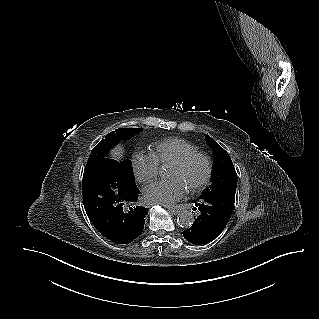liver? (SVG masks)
<instances>
[{
    "instance_id": "liver-1",
    "label": "liver",
    "mask_w": 319,
    "mask_h": 319,
    "mask_svg": "<svg viewBox=\"0 0 319 319\" xmlns=\"http://www.w3.org/2000/svg\"><path fill=\"white\" fill-rule=\"evenodd\" d=\"M123 148L121 146H117L113 151H112V155L113 157H115L116 159H120L123 156Z\"/></svg>"
}]
</instances>
